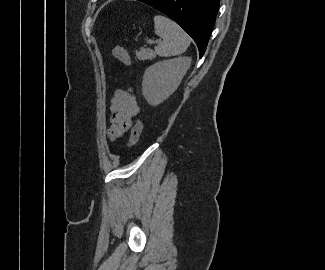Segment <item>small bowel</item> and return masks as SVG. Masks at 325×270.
I'll list each match as a JSON object with an SVG mask.
<instances>
[{
    "mask_svg": "<svg viewBox=\"0 0 325 270\" xmlns=\"http://www.w3.org/2000/svg\"><path fill=\"white\" fill-rule=\"evenodd\" d=\"M139 112L140 107L131 89L117 90L110 104L109 138L114 140L127 131Z\"/></svg>",
    "mask_w": 325,
    "mask_h": 270,
    "instance_id": "c3829d8e",
    "label": "small bowel"
}]
</instances>
